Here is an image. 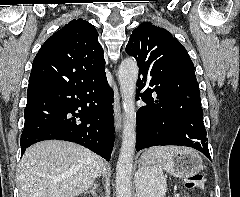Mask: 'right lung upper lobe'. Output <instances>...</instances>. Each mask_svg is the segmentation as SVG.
<instances>
[{"instance_id":"obj_1","label":"right lung upper lobe","mask_w":240,"mask_h":197,"mask_svg":"<svg viewBox=\"0 0 240 197\" xmlns=\"http://www.w3.org/2000/svg\"><path fill=\"white\" fill-rule=\"evenodd\" d=\"M96 28L74 19L55 32L34 58L27 92L56 84H83L105 75Z\"/></svg>"}]
</instances>
